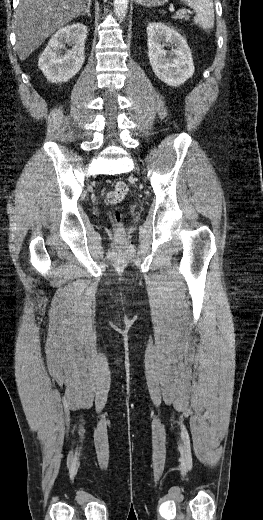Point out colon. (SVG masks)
I'll return each mask as SVG.
<instances>
[{
	"mask_svg": "<svg viewBox=\"0 0 263 520\" xmlns=\"http://www.w3.org/2000/svg\"><path fill=\"white\" fill-rule=\"evenodd\" d=\"M129 193V186L122 181H118L114 184L112 189L107 193L106 199L107 202L111 205L119 204L124 200V198ZM114 221L117 226H120L122 223V215L119 211H115L114 213Z\"/></svg>",
	"mask_w": 263,
	"mask_h": 520,
	"instance_id": "1",
	"label": "colon"
}]
</instances>
